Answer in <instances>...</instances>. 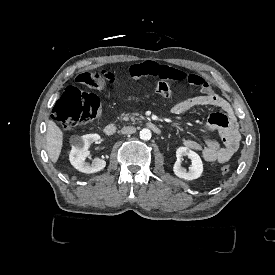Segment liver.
Here are the masks:
<instances>
[{"label":"liver","instance_id":"liver-1","mask_svg":"<svg viewBox=\"0 0 275 275\" xmlns=\"http://www.w3.org/2000/svg\"><path fill=\"white\" fill-rule=\"evenodd\" d=\"M64 132L53 119L47 122L46 152L50 161L56 164L63 147Z\"/></svg>","mask_w":275,"mask_h":275}]
</instances>
